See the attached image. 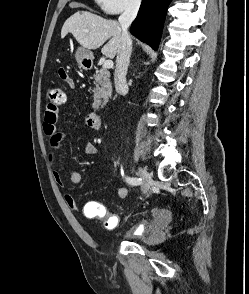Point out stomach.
Returning a JSON list of instances; mask_svg holds the SVG:
<instances>
[{"label": "stomach", "mask_w": 249, "mask_h": 294, "mask_svg": "<svg viewBox=\"0 0 249 294\" xmlns=\"http://www.w3.org/2000/svg\"><path fill=\"white\" fill-rule=\"evenodd\" d=\"M78 66L82 69H88L93 63V53L86 48L80 47L75 54Z\"/></svg>", "instance_id": "stomach-1"}]
</instances>
